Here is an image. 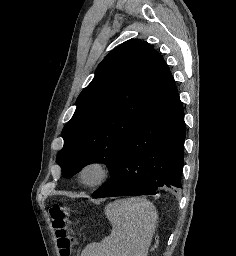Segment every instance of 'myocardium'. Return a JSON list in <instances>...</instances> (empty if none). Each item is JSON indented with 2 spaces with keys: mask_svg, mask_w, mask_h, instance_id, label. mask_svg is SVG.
<instances>
[{
  "mask_svg": "<svg viewBox=\"0 0 236 256\" xmlns=\"http://www.w3.org/2000/svg\"><path fill=\"white\" fill-rule=\"evenodd\" d=\"M94 167L98 170L97 176L92 181L84 180V172L87 168ZM111 164L103 158H91L82 163L78 170V177L82 185L86 187H97L105 183L112 175Z\"/></svg>",
  "mask_w": 236,
  "mask_h": 256,
  "instance_id": "1",
  "label": "myocardium"
}]
</instances>
